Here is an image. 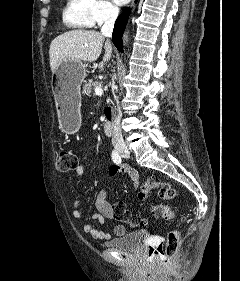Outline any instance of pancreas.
I'll use <instances>...</instances> for the list:
<instances>
[{
    "label": "pancreas",
    "instance_id": "pancreas-1",
    "mask_svg": "<svg viewBox=\"0 0 240 281\" xmlns=\"http://www.w3.org/2000/svg\"><path fill=\"white\" fill-rule=\"evenodd\" d=\"M98 85H99V83L97 81L90 80V81L86 82L85 85L83 86L82 94L84 96L89 97L90 94L92 93L93 89L95 87H97Z\"/></svg>",
    "mask_w": 240,
    "mask_h": 281
}]
</instances>
